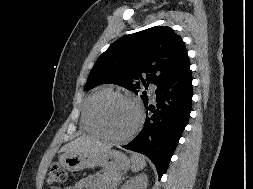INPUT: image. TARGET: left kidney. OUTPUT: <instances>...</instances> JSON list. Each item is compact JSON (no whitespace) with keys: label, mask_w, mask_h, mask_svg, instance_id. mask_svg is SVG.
<instances>
[{"label":"left kidney","mask_w":253,"mask_h":189,"mask_svg":"<svg viewBox=\"0 0 253 189\" xmlns=\"http://www.w3.org/2000/svg\"><path fill=\"white\" fill-rule=\"evenodd\" d=\"M148 183V177L145 174L136 176L128 180L121 189H146Z\"/></svg>","instance_id":"obj_1"}]
</instances>
